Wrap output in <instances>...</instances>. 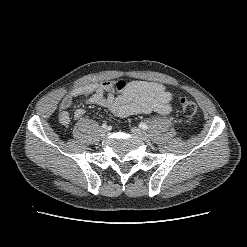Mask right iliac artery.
I'll return each instance as SVG.
<instances>
[{
  "instance_id": "right-iliac-artery-1",
  "label": "right iliac artery",
  "mask_w": 247,
  "mask_h": 247,
  "mask_svg": "<svg viewBox=\"0 0 247 247\" xmlns=\"http://www.w3.org/2000/svg\"><path fill=\"white\" fill-rule=\"evenodd\" d=\"M102 127H103V128H106V127H107L106 123H103V124H102Z\"/></svg>"
}]
</instances>
